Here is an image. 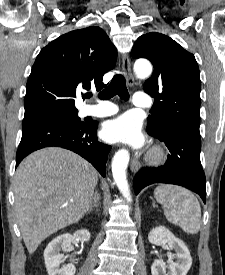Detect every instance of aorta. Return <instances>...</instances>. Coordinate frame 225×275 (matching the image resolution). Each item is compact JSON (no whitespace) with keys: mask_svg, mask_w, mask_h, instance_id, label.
<instances>
[{"mask_svg":"<svg viewBox=\"0 0 225 275\" xmlns=\"http://www.w3.org/2000/svg\"><path fill=\"white\" fill-rule=\"evenodd\" d=\"M133 70L137 78L144 79L151 75L152 66L148 61H137L134 64ZM129 159L130 154L125 149L116 152L112 159V175L114 182L128 202L131 201V195L126 175Z\"/></svg>","mask_w":225,"mask_h":275,"instance_id":"1","label":"aorta"}]
</instances>
